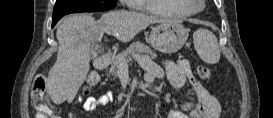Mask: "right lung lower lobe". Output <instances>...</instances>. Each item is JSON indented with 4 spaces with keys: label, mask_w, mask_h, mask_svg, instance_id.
<instances>
[{
    "label": "right lung lower lobe",
    "mask_w": 273,
    "mask_h": 118,
    "mask_svg": "<svg viewBox=\"0 0 273 118\" xmlns=\"http://www.w3.org/2000/svg\"><path fill=\"white\" fill-rule=\"evenodd\" d=\"M80 11L76 10H70L67 8H60L59 10L53 11V19H52V27L57 23V21L64 15L71 14V13H77Z\"/></svg>",
    "instance_id": "right-lung-lower-lobe-1"
}]
</instances>
